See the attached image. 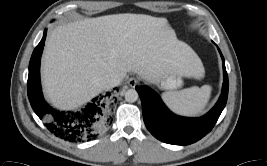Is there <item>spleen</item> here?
<instances>
[{
	"mask_svg": "<svg viewBox=\"0 0 267 166\" xmlns=\"http://www.w3.org/2000/svg\"><path fill=\"white\" fill-rule=\"evenodd\" d=\"M211 95V86L191 87L181 91L167 92L163 95L169 107L184 115L201 113Z\"/></svg>",
	"mask_w": 267,
	"mask_h": 166,
	"instance_id": "3e777b00",
	"label": "spleen"
}]
</instances>
